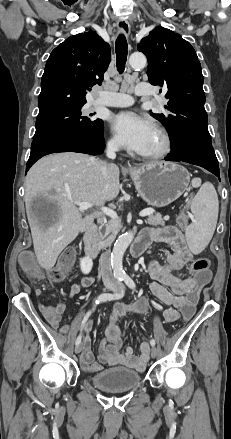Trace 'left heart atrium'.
<instances>
[{
	"mask_svg": "<svg viewBox=\"0 0 231 439\" xmlns=\"http://www.w3.org/2000/svg\"><path fill=\"white\" fill-rule=\"evenodd\" d=\"M111 128L124 147L138 153L144 151L155 131L150 120L129 111L115 115Z\"/></svg>",
	"mask_w": 231,
	"mask_h": 439,
	"instance_id": "left-heart-atrium-1",
	"label": "left heart atrium"
}]
</instances>
